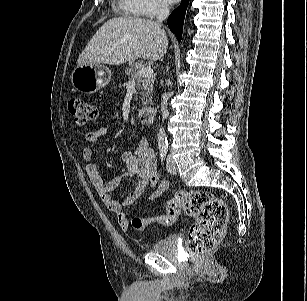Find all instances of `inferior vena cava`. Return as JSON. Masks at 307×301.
<instances>
[{
	"mask_svg": "<svg viewBox=\"0 0 307 301\" xmlns=\"http://www.w3.org/2000/svg\"><path fill=\"white\" fill-rule=\"evenodd\" d=\"M169 15V7L166 4H162L159 8L157 19L159 22L164 21ZM167 101H168V95L164 93L162 95V101H161V114L163 119L167 116Z\"/></svg>",
	"mask_w": 307,
	"mask_h": 301,
	"instance_id": "inferior-vena-cava-1",
	"label": "inferior vena cava"
}]
</instances>
